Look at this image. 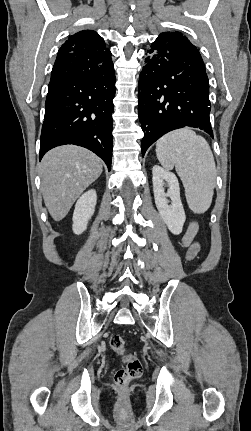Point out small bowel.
I'll use <instances>...</instances> for the list:
<instances>
[{"label": "small bowel", "instance_id": "obj_1", "mask_svg": "<svg viewBox=\"0 0 251 431\" xmlns=\"http://www.w3.org/2000/svg\"><path fill=\"white\" fill-rule=\"evenodd\" d=\"M198 231V225L195 221L190 222L186 233L182 238V246L186 249V258L192 260L200 250V245L194 240Z\"/></svg>", "mask_w": 251, "mask_h": 431}]
</instances>
